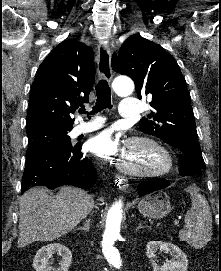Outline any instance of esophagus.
Masks as SVG:
<instances>
[{
  "mask_svg": "<svg viewBox=\"0 0 221 271\" xmlns=\"http://www.w3.org/2000/svg\"><path fill=\"white\" fill-rule=\"evenodd\" d=\"M97 73L99 78L110 82L113 77L111 68V53L107 43L100 42L98 45ZM119 179L121 189L128 187L127 179L122 175H116Z\"/></svg>",
  "mask_w": 221,
  "mask_h": 271,
  "instance_id": "1",
  "label": "esophagus"
}]
</instances>
